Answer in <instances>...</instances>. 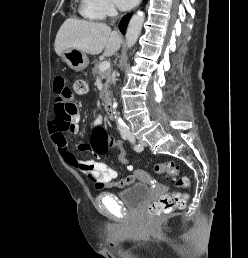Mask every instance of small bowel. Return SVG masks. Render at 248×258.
<instances>
[{
	"instance_id": "small-bowel-1",
	"label": "small bowel",
	"mask_w": 248,
	"mask_h": 258,
	"mask_svg": "<svg viewBox=\"0 0 248 258\" xmlns=\"http://www.w3.org/2000/svg\"><path fill=\"white\" fill-rule=\"evenodd\" d=\"M53 90H54V112L56 117L57 113L65 105L71 104V96L68 89L65 87L64 78L58 77L53 80ZM52 119L49 129L51 137L57 146L59 153L62 155L64 161L74 167L79 168L92 182L96 184L99 188H126L133 184L136 180L135 174H130L123 179L115 182L117 177V172L111 168L108 164L102 161H97L95 159L79 160L74 153V144L70 139L69 132L76 133L78 131L80 123V115L74 113L71 116V129L63 130L58 128ZM101 123V117L98 116L92 123V125H97ZM80 150H87V146L84 144L79 145Z\"/></svg>"
}]
</instances>
